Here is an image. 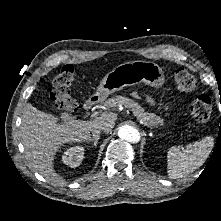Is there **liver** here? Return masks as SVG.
<instances>
[{"mask_svg":"<svg viewBox=\"0 0 221 221\" xmlns=\"http://www.w3.org/2000/svg\"><path fill=\"white\" fill-rule=\"evenodd\" d=\"M21 118V138L30 167L46 179L62 183L63 180L53 168L54 156L60 146L87 140L92 129L98 125H103L105 132H110L115 126L117 114L103 112L91 121L69 120L59 123L54 115L28 103Z\"/></svg>","mask_w":221,"mask_h":221,"instance_id":"6515ba94","label":"liver"}]
</instances>
